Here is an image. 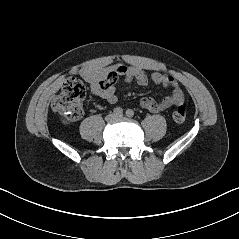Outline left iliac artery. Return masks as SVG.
<instances>
[{"mask_svg":"<svg viewBox=\"0 0 239 239\" xmlns=\"http://www.w3.org/2000/svg\"><path fill=\"white\" fill-rule=\"evenodd\" d=\"M126 116H128V117H133V116H134V111L131 110V109H128V110L126 111Z\"/></svg>","mask_w":239,"mask_h":239,"instance_id":"obj_1","label":"left iliac artery"}]
</instances>
